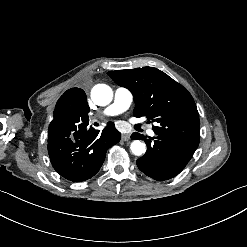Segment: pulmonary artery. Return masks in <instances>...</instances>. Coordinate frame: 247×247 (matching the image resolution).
<instances>
[{
	"mask_svg": "<svg viewBox=\"0 0 247 247\" xmlns=\"http://www.w3.org/2000/svg\"><path fill=\"white\" fill-rule=\"evenodd\" d=\"M133 99V92L129 88L121 86L117 87L115 90L113 103L106 107L101 114L105 116L119 114L131 106ZM148 133L152 137L156 136V133L153 130H149Z\"/></svg>",
	"mask_w": 247,
	"mask_h": 247,
	"instance_id": "obj_1",
	"label": "pulmonary artery"
}]
</instances>
